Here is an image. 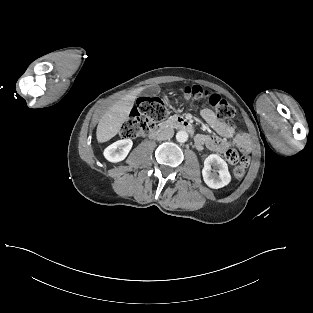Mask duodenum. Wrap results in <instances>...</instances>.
Listing matches in <instances>:
<instances>
[{"mask_svg":"<svg viewBox=\"0 0 313 313\" xmlns=\"http://www.w3.org/2000/svg\"><path fill=\"white\" fill-rule=\"evenodd\" d=\"M172 128L181 129L190 134L194 132L193 126L187 120L181 117H174V118L167 120L166 122L161 124L158 128L150 132L149 136L151 138L167 136L168 132Z\"/></svg>","mask_w":313,"mask_h":313,"instance_id":"obj_1","label":"duodenum"}]
</instances>
